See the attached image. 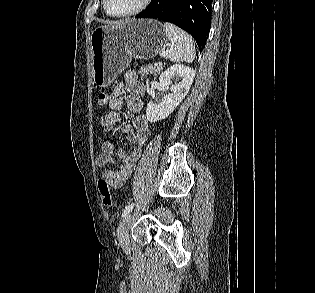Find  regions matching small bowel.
Wrapping results in <instances>:
<instances>
[{"label":"small bowel","instance_id":"obj_1","mask_svg":"<svg viewBox=\"0 0 315 293\" xmlns=\"http://www.w3.org/2000/svg\"><path fill=\"white\" fill-rule=\"evenodd\" d=\"M126 89L132 96V99L127 102V107L134 113V118L132 123L124 125L121 131L134 148L130 153L124 149L116 150L111 141L105 140L102 142L101 152L95 158L96 165L103 169L102 179L113 189H118L126 183L141 154L142 147L150 135L148 121L141 114L143 106L141 97L145 92V86L134 71L125 72L123 80L109 96V111L100 119L103 130L111 132L115 124L121 120V109L124 105L123 94ZM114 154L121 163L116 169H111L110 165L115 163Z\"/></svg>","mask_w":315,"mask_h":293}]
</instances>
